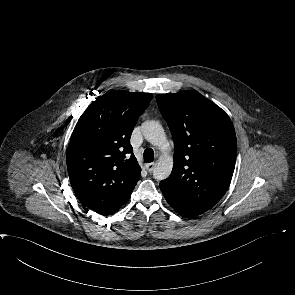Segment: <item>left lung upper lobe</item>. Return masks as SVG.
I'll return each instance as SVG.
<instances>
[{
  "instance_id": "left-lung-upper-lobe-1",
  "label": "left lung upper lobe",
  "mask_w": 295,
  "mask_h": 295,
  "mask_svg": "<svg viewBox=\"0 0 295 295\" xmlns=\"http://www.w3.org/2000/svg\"><path fill=\"white\" fill-rule=\"evenodd\" d=\"M174 140L171 175L160 182L191 216L211 209L228 189L237 141L229 116L196 91L156 96Z\"/></svg>"
}]
</instances>
